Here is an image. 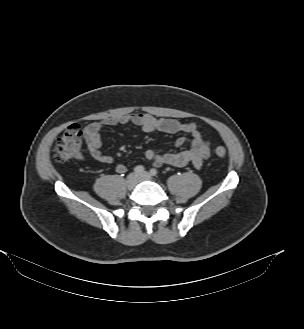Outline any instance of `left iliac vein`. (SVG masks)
I'll list each match as a JSON object with an SVG mask.
<instances>
[{
  "label": "left iliac vein",
  "mask_w": 304,
  "mask_h": 329,
  "mask_svg": "<svg viewBox=\"0 0 304 329\" xmlns=\"http://www.w3.org/2000/svg\"><path fill=\"white\" fill-rule=\"evenodd\" d=\"M137 177H138L139 182L153 179L151 174H149L148 172H143V173L139 174Z\"/></svg>",
  "instance_id": "4c4485c4"
}]
</instances>
